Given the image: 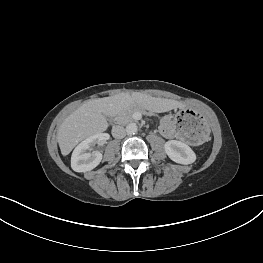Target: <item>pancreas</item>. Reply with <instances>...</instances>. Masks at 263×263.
I'll return each mask as SVG.
<instances>
[{"label": "pancreas", "instance_id": "obj_1", "mask_svg": "<svg viewBox=\"0 0 263 263\" xmlns=\"http://www.w3.org/2000/svg\"><path fill=\"white\" fill-rule=\"evenodd\" d=\"M136 111H139V110L131 108V109H128L126 111L121 112L116 118L117 122L119 124H126V123L132 121L133 120L132 115Z\"/></svg>", "mask_w": 263, "mask_h": 263}]
</instances>
